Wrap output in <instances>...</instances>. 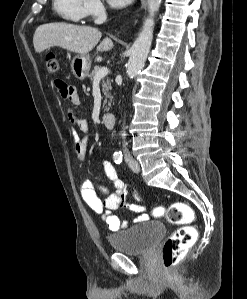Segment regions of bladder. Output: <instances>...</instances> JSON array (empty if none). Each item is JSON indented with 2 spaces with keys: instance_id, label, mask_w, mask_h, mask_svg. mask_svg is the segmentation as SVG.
Wrapping results in <instances>:
<instances>
[{
  "instance_id": "1",
  "label": "bladder",
  "mask_w": 247,
  "mask_h": 299,
  "mask_svg": "<svg viewBox=\"0 0 247 299\" xmlns=\"http://www.w3.org/2000/svg\"><path fill=\"white\" fill-rule=\"evenodd\" d=\"M166 233L158 221H145L139 225L109 235L112 248L128 255H143L152 250Z\"/></svg>"
}]
</instances>
